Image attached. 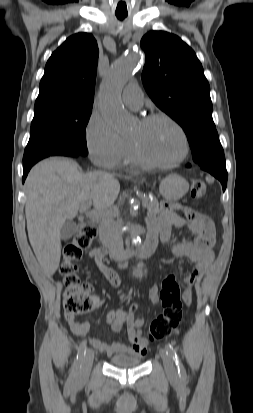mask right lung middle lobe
Here are the masks:
<instances>
[{"label": "right lung middle lobe", "instance_id": "1", "mask_svg": "<svg viewBox=\"0 0 253 413\" xmlns=\"http://www.w3.org/2000/svg\"><path fill=\"white\" fill-rule=\"evenodd\" d=\"M92 108L52 109L34 113L23 162L59 155H87L85 128Z\"/></svg>", "mask_w": 253, "mask_h": 413}]
</instances>
